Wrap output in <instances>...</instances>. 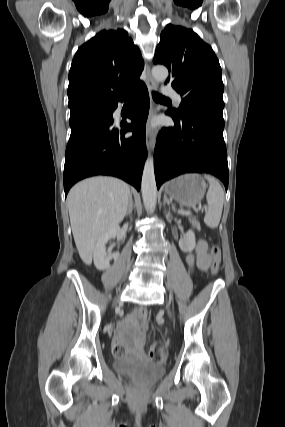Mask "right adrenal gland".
Listing matches in <instances>:
<instances>
[{
    "label": "right adrenal gland",
    "instance_id": "2a0ac1e0",
    "mask_svg": "<svg viewBox=\"0 0 285 427\" xmlns=\"http://www.w3.org/2000/svg\"><path fill=\"white\" fill-rule=\"evenodd\" d=\"M132 210H133V197H132V194H131L130 198H129V204H128V208H127V211H126V215H130L132 213Z\"/></svg>",
    "mask_w": 285,
    "mask_h": 427
}]
</instances>
